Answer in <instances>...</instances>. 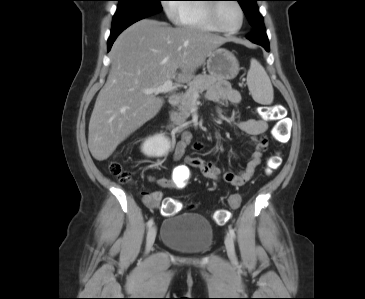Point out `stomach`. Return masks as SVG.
Instances as JSON below:
<instances>
[{"mask_svg":"<svg viewBox=\"0 0 365 299\" xmlns=\"http://www.w3.org/2000/svg\"><path fill=\"white\" fill-rule=\"evenodd\" d=\"M207 70L213 77L230 80L237 76L239 62L232 52L217 48L208 55Z\"/></svg>","mask_w":365,"mask_h":299,"instance_id":"obj_1","label":"stomach"}]
</instances>
